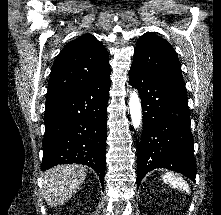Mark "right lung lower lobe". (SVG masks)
I'll return each mask as SVG.
<instances>
[{"label":"right lung lower lobe","instance_id":"1","mask_svg":"<svg viewBox=\"0 0 221 215\" xmlns=\"http://www.w3.org/2000/svg\"><path fill=\"white\" fill-rule=\"evenodd\" d=\"M109 77L46 102L42 171L57 164H86L104 183Z\"/></svg>","mask_w":221,"mask_h":215}]
</instances>
